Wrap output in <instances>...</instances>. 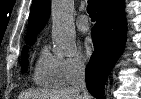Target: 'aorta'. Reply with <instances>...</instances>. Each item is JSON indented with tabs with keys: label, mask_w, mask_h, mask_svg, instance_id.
<instances>
[{
	"label": "aorta",
	"mask_w": 141,
	"mask_h": 99,
	"mask_svg": "<svg viewBox=\"0 0 141 99\" xmlns=\"http://www.w3.org/2000/svg\"><path fill=\"white\" fill-rule=\"evenodd\" d=\"M73 12L74 0H53L51 3L52 39L56 52L64 56L76 51Z\"/></svg>",
	"instance_id": "obj_1"
}]
</instances>
